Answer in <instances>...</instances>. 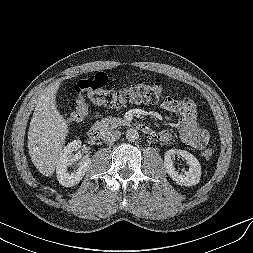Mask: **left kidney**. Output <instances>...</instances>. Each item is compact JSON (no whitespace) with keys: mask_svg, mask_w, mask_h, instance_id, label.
Here are the masks:
<instances>
[{"mask_svg":"<svg viewBox=\"0 0 253 253\" xmlns=\"http://www.w3.org/2000/svg\"><path fill=\"white\" fill-rule=\"evenodd\" d=\"M175 155L184 158L189 169L183 175L179 174L172 160ZM164 168L168 175L181 186H194L199 183L201 177V165L197 158L191 153L181 149H170L165 153L164 156Z\"/></svg>","mask_w":253,"mask_h":253,"instance_id":"5707ae66","label":"left kidney"}]
</instances>
